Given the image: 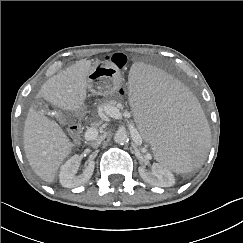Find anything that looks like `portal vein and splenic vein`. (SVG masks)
Here are the masks:
<instances>
[{
  "mask_svg": "<svg viewBox=\"0 0 243 243\" xmlns=\"http://www.w3.org/2000/svg\"><path fill=\"white\" fill-rule=\"evenodd\" d=\"M107 115H109L110 117L112 118H115V119H118V120H121L123 119V116L121 114V112L114 108V107H110L109 110L107 111ZM127 118H129V115H127ZM128 122V125L129 127L135 132V136H138L139 133L138 131L135 129V127L133 126V124L129 121ZM97 134V131L95 128H89L86 132H85V138L87 140L93 138L95 135Z\"/></svg>",
  "mask_w": 243,
  "mask_h": 243,
  "instance_id": "18ae733b",
  "label": "portal vein and splenic vein"
}]
</instances>
